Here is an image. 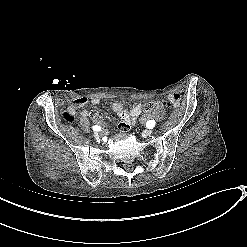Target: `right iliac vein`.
I'll return each instance as SVG.
<instances>
[{
  "instance_id": "63e3f726",
  "label": "right iliac vein",
  "mask_w": 247,
  "mask_h": 247,
  "mask_svg": "<svg viewBox=\"0 0 247 247\" xmlns=\"http://www.w3.org/2000/svg\"><path fill=\"white\" fill-rule=\"evenodd\" d=\"M94 137H95L96 139H99V138H100V135H99L97 132H95V133H94Z\"/></svg>"
}]
</instances>
